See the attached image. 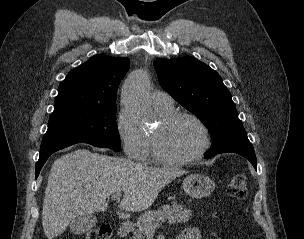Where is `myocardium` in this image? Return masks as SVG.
<instances>
[{
  "label": "myocardium",
  "mask_w": 304,
  "mask_h": 239,
  "mask_svg": "<svg viewBox=\"0 0 304 239\" xmlns=\"http://www.w3.org/2000/svg\"><path fill=\"white\" fill-rule=\"evenodd\" d=\"M181 118H188L192 120L200 129L202 134V144L197 152L194 154L184 157V158H170L161 153L158 147V138L156 134H152L151 141H152V152L153 157L156 161L166 164V165H186L193 162L198 161L201 159L207 150L210 148L211 145V138L209 129L206 124L195 114L188 112V111H174L164 117L161 120V127L167 128L172 125L175 121Z\"/></svg>",
  "instance_id": "myocardium-1"
}]
</instances>
